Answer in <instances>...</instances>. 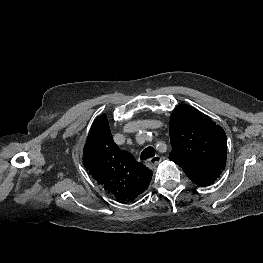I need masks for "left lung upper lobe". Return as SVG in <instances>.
<instances>
[{
	"instance_id": "obj_1",
	"label": "left lung upper lobe",
	"mask_w": 263,
	"mask_h": 263,
	"mask_svg": "<svg viewBox=\"0 0 263 263\" xmlns=\"http://www.w3.org/2000/svg\"><path fill=\"white\" fill-rule=\"evenodd\" d=\"M169 129V159L185 174L220 176L227 158V138L221 126L197 109L179 105L172 112Z\"/></svg>"
}]
</instances>
